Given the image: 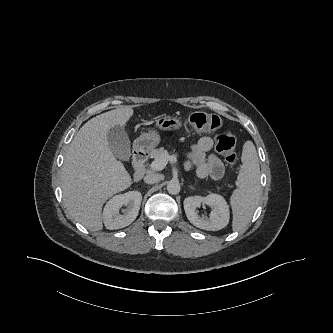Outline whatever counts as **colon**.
I'll use <instances>...</instances> for the list:
<instances>
[{"label": "colon", "mask_w": 333, "mask_h": 333, "mask_svg": "<svg viewBox=\"0 0 333 333\" xmlns=\"http://www.w3.org/2000/svg\"><path fill=\"white\" fill-rule=\"evenodd\" d=\"M191 127L197 131L211 132L219 130L222 126L220 118L213 114L195 112L189 116ZM215 149L228 165H234L237 160L236 139L232 132L224 131L215 138Z\"/></svg>", "instance_id": "colon-1"}]
</instances>
